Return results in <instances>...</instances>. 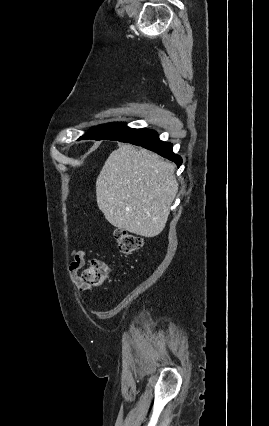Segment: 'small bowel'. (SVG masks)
I'll use <instances>...</instances> for the list:
<instances>
[{
    "mask_svg": "<svg viewBox=\"0 0 269 426\" xmlns=\"http://www.w3.org/2000/svg\"><path fill=\"white\" fill-rule=\"evenodd\" d=\"M87 254L83 250L74 249L70 253L71 262L69 264L70 279L78 291L83 293H91L93 290L92 285L85 282L79 275V270L83 268L86 261Z\"/></svg>",
    "mask_w": 269,
    "mask_h": 426,
    "instance_id": "1",
    "label": "small bowel"
}]
</instances>
